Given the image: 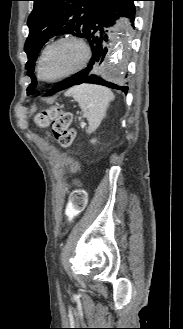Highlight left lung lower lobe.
<instances>
[{
	"mask_svg": "<svg viewBox=\"0 0 183 329\" xmlns=\"http://www.w3.org/2000/svg\"><path fill=\"white\" fill-rule=\"evenodd\" d=\"M134 1L137 0H109L100 8L85 35L92 50L89 65L80 72L58 83L46 93V96L83 83L104 85L127 93L128 87L126 85L104 80L100 74L96 73V68L103 62L108 52V27L112 26L118 17L129 18L133 26L135 17Z\"/></svg>",
	"mask_w": 183,
	"mask_h": 329,
	"instance_id": "0a47b994",
	"label": "left lung lower lobe"
}]
</instances>
